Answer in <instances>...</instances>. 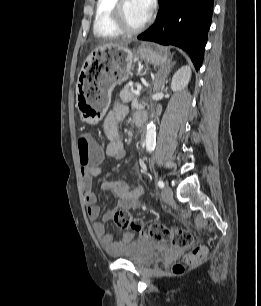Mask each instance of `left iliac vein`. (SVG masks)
<instances>
[{"instance_id": "4c4485c4", "label": "left iliac vein", "mask_w": 261, "mask_h": 306, "mask_svg": "<svg viewBox=\"0 0 261 306\" xmlns=\"http://www.w3.org/2000/svg\"><path fill=\"white\" fill-rule=\"evenodd\" d=\"M162 198L164 201H170L173 198L172 188L168 184L162 190Z\"/></svg>"}]
</instances>
